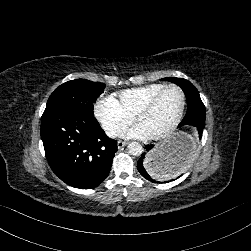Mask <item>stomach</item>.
<instances>
[{
	"label": "stomach",
	"instance_id": "obj_1",
	"mask_svg": "<svg viewBox=\"0 0 251 251\" xmlns=\"http://www.w3.org/2000/svg\"><path fill=\"white\" fill-rule=\"evenodd\" d=\"M158 150V154L146 159L145 174L149 178H176L192 166L196 157V143L191 135L182 132L174 134Z\"/></svg>",
	"mask_w": 251,
	"mask_h": 251
}]
</instances>
